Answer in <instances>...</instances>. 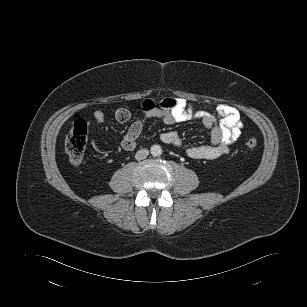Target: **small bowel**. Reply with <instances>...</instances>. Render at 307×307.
I'll return each mask as SVG.
<instances>
[{
    "label": "small bowel",
    "mask_w": 307,
    "mask_h": 307,
    "mask_svg": "<svg viewBox=\"0 0 307 307\" xmlns=\"http://www.w3.org/2000/svg\"><path fill=\"white\" fill-rule=\"evenodd\" d=\"M143 116L134 121L125 133L121 146L125 151H133L137 146V140L143 130L144 121L157 118L166 124L185 122L198 119L203 126L210 130V144L191 146L186 148V154L193 159L213 160L229 152L230 145L236 141L242 129V121L238 110L230 105L221 104L216 109V114L196 109L186 100L181 98H166L158 105L149 98L140 102ZM130 111L125 107H119L114 111L115 120L125 123L130 119ZM95 122L101 124L105 120L102 111L93 113ZM163 143L182 147L179 134L175 131H167L161 134Z\"/></svg>",
    "instance_id": "c3829d8e"
}]
</instances>
